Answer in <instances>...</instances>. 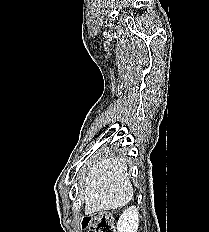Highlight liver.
I'll list each match as a JSON object with an SVG mask.
<instances>
[{
    "label": "liver",
    "instance_id": "6515ba94",
    "mask_svg": "<svg viewBox=\"0 0 209 232\" xmlns=\"http://www.w3.org/2000/svg\"><path fill=\"white\" fill-rule=\"evenodd\" d=\"M81 182L86 214L121 208L133 197L124 158L106 157L95 161Z\"/></svg>",
    "mask_w": 209,
    "mask_h": 232
}]
</instances>
